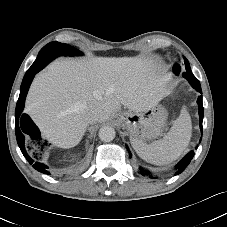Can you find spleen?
I'll list each match as a JSON object with an SVG mask.
<instances>
[{
  "label": "spleen",
  "instance_id": "3e777b00",
  "mask_svg": "<svg viewBox=\"0 0 227 227\" xmlns=\"http://www.w3.org/2000/svg\"><path fill=\"white\" fill-rule=\"evenodd\" d=\"M192 135V124L186 108L174 121L169 132L151 144L131 138V144L140 158L155 165H167L180 157L187 148Z\"/></svg>",
  "mask_w": 227,
  "mask_h": 227
}]
</instances>
